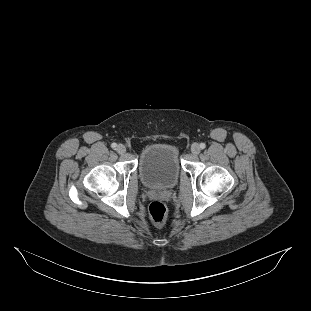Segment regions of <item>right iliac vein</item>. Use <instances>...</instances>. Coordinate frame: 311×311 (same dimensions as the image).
I'll list each match as a JSON object with an SVG mask.
<instances>
[{
  "mask_svg": "<svg viewBox=\"0 0 311 311\" xmlns=\"http://www.w3.org/2000/svg\"><path fill=\"white\" fill-rule=\"evenodd\" d=\"M116 150H117V152H118L119 154H124V153L126 152V148H125V146L122 145V144H119V145L117 146Z\"/></svg>",
  "mask_w": 311,
  "mask_h": 311,
  "instance_id": "right-iliac-vein-1",
  "label": "right iliac vein"
}]
</instances>
